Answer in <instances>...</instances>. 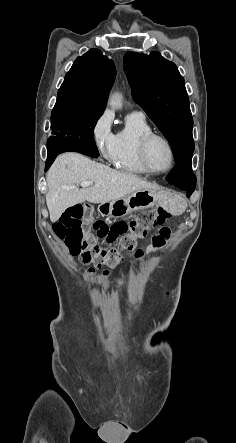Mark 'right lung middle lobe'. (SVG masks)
Returning <instances> with one entry per match:
<instances>
[{"label": "right lung middle lobe", "instance_id": "dd1d6c3e", "mask_svg": "<svg viewBox=\"0 0 236 443\" xmlns=\"http://www.w3.org/2000/svg\"><path fill=\"white\" fill-rule=\"evenodd\" d=\"M103 111L80 110L67 106H54L51 114L53 139L63 142H82L88 145H96L94 141V127Z\"/></svg>", "mask_w": 236, "mask_h": 443}]
</instances>
